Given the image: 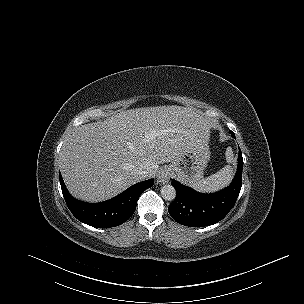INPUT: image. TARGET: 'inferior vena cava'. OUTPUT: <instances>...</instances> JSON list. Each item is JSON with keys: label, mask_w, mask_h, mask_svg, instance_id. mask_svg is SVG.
<instances>
[{"label": "inferior vena cava", "mask_w": 304, "mask_h": 304, "mask_svg": "<svg viewBox=\"0 0 304 304\" xmlns=\"http://www.w3.org/2000/svg\"><path fill=\"white\" fill-rule=\"evenodd\" d=\"M135 174L138 177L139 180H144L146 178H150V173L148 170L139 167L135 170Z\"/></svg>", "instance_id": "inferior-vena-cava-1"}]
</instances>
